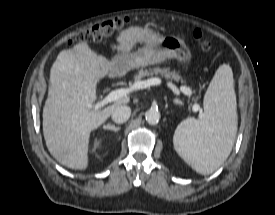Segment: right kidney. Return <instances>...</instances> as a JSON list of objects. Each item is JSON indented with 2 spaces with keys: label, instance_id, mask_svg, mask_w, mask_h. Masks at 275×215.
<instances>
[{
  "label": "right kidney",
  "instance_id": "right-kidney-1",
  "mask_svg": "<svg viewBox=\"0 0 275 215\" xmlns=\"http://www.w3.org/2000/svg\"><path fill=\"white\" fill-rule=\"evenodd\" d=\"M100 145H101V141H97V142L95 143V145H94L95 149L98 148V147H100Z\"/></svg>",
  "mask_w": 275,
  "mask_h": 215
}]
</instances>
